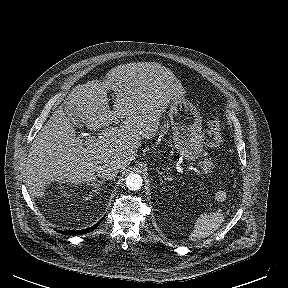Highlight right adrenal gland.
<instances>
[{
  "label": "right adrenal gland",
  "mask_w": 288,
  "mask_h": 288,
  "mask_svg": "<svg viewBox=\"0 0 288 288\" xmlns=\"http://www.w3.org/2000/svg\"><path fill=\"white\" fill-rule=\"evenodd\" d=\"M105 183V180H102V181H96V182H93L91 185H92V187H93V189H92V192H95L96 194H99L100 192H99V190L101 189V186H102V184H104Z\"/></svg>",
  "instance_id": "1"
}]
</instances>
